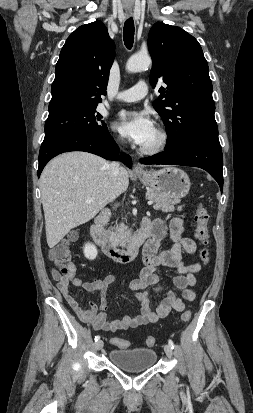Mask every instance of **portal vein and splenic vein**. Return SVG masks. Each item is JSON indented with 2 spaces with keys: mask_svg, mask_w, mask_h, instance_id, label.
I'll use <instances>...</instances> for the list:
<instances>
[{
  "mask_svg": "<svg viewBox=\"0 0 253 413\" xmlns=\"http://www.w3.org/2000/svg\"><path fill=\"white\" fill-rule=\"evenodd\" d=\"M93 199H94V198H89V199L86 200V202H91V201H93ZM147 204H148V205H152V204H153V201H152V200H149V201L147 202Z\"/></svg>",
  "mask_w": 253,
  "mask_h": 413,
  "instance_id": "18ae733b",
  "label": "portal vein and splenic vein"
}]
</instances>
